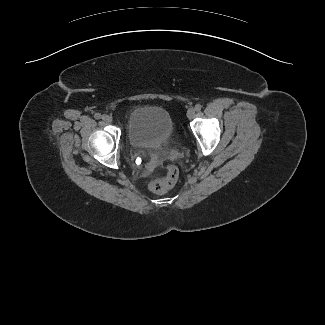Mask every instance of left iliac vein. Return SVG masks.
Instances as JSON below:
<instances>
[{
    "label": "left iliac vein",
    "instance_id": "4c4485c4",
    "mask_svg": "<svg viewBox=\"0 0 325 325\" xmlns=\"http://www.w3.org/2000/svg\"><path fill=\"white\" fill-rule=\"evenodd\" d=\"M195 114H196V110L194 108H190L188 109L187 111V117L188 119H193L195 117Z\"/></svg>",
    "mask_w": 325,
    "mask_h": 325
}]
</instances>
